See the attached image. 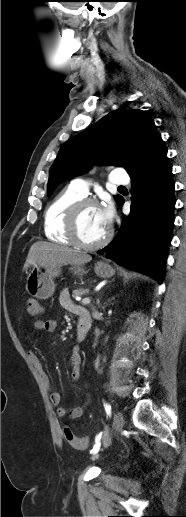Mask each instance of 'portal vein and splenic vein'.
I'll list each match as a JSON object with an SVG mask.
<instances>
[{"mask_svg":"<svg viewBox=\"0 0 186 517\" xmlns=\"http://www.w3.org/2000/svg\"><path fill=\"white\" fill-rule=\"evenodd\" d=\"M90 301H91V300H90V298H88V297H87V298L82 299L81 303H82L83 305H87V304H89V303H90Z\"/></svg>","mask_w":186,"mask_h":517,"instance_id":"18ae733b","label":"portal vein and splenic vein"}]
</instances>
